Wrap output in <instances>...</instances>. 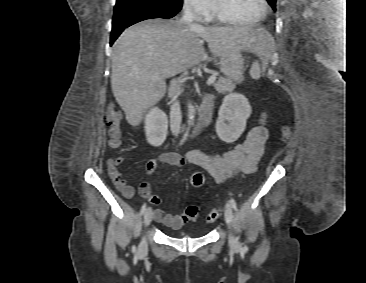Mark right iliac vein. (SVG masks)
Instances as JSON below:
<instances>
[{"label": "right iliac vein", "mask_w": 366, "mask_h": 283, "mask_svg": "<svg viewBox=\"0 0 366 283\" xmlns=\"http://www.w3.org/2000/svg\"><path fill=\"white\" fill-rule=\"evenodd\" d=\"M152 218H153V213H152V210L151 208H148L145 212V215H144V224L145 226H148L151 221H152ZM147 250V241H146V238H143L139 244V252L140 253H143Z\"/></svg>", "instance_id": "1"}]
</instances>
